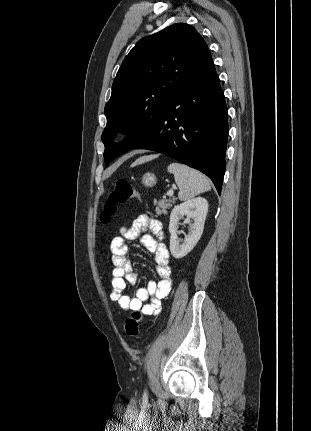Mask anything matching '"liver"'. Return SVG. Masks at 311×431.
<instances>
[{"instance_id": "liver-1", "label": "liver", "mask_w": 311, "mask_h": 431, "mask_svg": "<svg viewBox=\"0 0 311 431\" xmlns=\"http://www.w3.org/2000/svg\"><path fill=\"white\" fill-rule=\"evenodd\" d=\"M144 162H148V156H142V158L135 160V162L131 164V168H134V166H139V164H144Z\"/></svg>"}]
</instances>
